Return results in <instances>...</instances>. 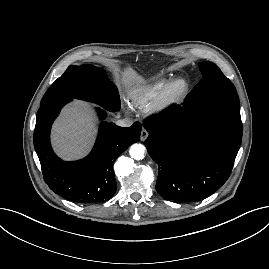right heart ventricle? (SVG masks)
Segmentation results:
<instances>
[{
	"label": "right heart ventricle",
	"instance_id": "right-heart-ventricle-1",
	"mask_svg": "<svg viewBox=\"0 0 269 269\" xmlns=\"http://www.w3.org/2000/svg\"><path fill=\"white\" fill-rule=\"evenodd\" d=\"M168 82V77H160L131 89L128 93L130 104L140 108L147 107L159 97Z\"/></svg>",
	"mask_w": 269,
	"mask_h": 269
}]
</instances>
